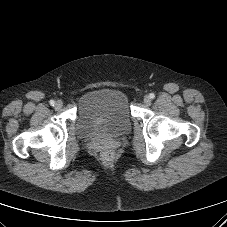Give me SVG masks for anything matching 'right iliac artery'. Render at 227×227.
Segmentation results:
<instances>
[{"label":"right iliac artery","instance_id":"1","mask_svg":"<svg viewBox=\"0 0 227 227\" xmlns=\"http://www.w3.org/2000/svg\"><path fill=\"white\" fill-rule=\"evenodd\" d=\"M49 103H50L51 106H54L55 105V101L54 100H50Z\"/></svg>","mask_w":227,"mask_h":227}]
</instances>
